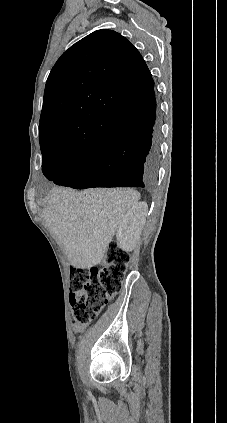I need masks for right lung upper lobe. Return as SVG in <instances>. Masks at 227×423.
Returning <instances> with one entry per match:
<instances>
[{"label": "right lung upper lobe", "instance_id": "obj_1", "mask_svg": "<svg viewBox=\"0 0 227 423\" xmlns=\"http://www.w3.org/2000/svg\"><path fill=\"white\" fill-rule=\"evenodd\" d=\"M151 73L139 51L112 30H97L58 59L46 82L39 140L87 150L130 127L101 109L148 98Z\"/></svg>", "mask_w": 227, "mask_h": 423}]
</instances>
